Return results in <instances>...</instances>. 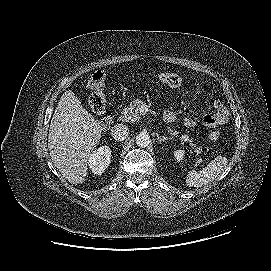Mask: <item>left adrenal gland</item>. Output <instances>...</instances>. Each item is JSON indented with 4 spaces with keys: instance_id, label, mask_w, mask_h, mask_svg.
<instances>
[{
    "instance_id": "left-adrenal-gland-1",
    "label": "left adrenal gland",
    "mask_w": 271,
    "mask_h": 271,
    "mask_svg": "<svg viewBox=\"0 0 271 271\" xmlns=\"http://www.w3.org/2000/svg\"><path fill=\"white\" fill-rule=\"evenodd\" d=\"M170 140L171 138L170 137H167V136H157V140L159 141V142H161V141H165V140Z\"/></svg>"
}]
</instances>
